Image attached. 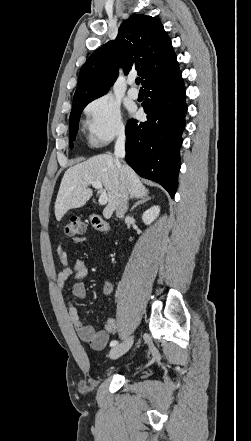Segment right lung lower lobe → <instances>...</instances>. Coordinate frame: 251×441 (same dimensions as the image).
I'll list each match as a JSON object with an SVG mask.
<instances>
[{
	"label": "right lung lower lobe",
	"instance_id": "98d812e1",
	"mask_svg": "<svg viewBox=\"0 0 251 441\" xmlns=\"http://www.w3.org/2000/svg\"><path fill=\"white\" fill-rule=\"evenodd\" d=\"M181 75L177 65L147 82L142 103L147 121L130 119L126 126V162L141 177L162 185L172 198L178 186L187 111Z\"/></svg>",
	"mask_w": 251,
	"mask_h": 441
}]
</instances>
